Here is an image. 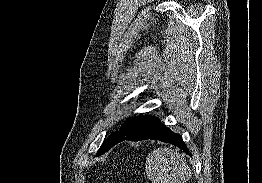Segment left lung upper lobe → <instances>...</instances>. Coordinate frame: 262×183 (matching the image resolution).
Segmentation results:
<instances>
[{
    "instance_id": "left-lung-upper-lobe-1",
    "label": "left lung upper lobe",
    "mask_w": 262,
    "mask_h": 183,
    "mask_svg": "<svg viewBox=\"0 0 262 183\" xmlns=\"http://www.w3.org/2000/svg\"><path fill=\"white\" fill-rule=\"evenodd\" d=\"M151 115L148 116H139L135 118H130L124 122L118 132L112 133L102 144L100 149L97 152V156L105 153L108 148L115 143L116 141L126 138L130 135L136 133L143 125L151 118Z\"/></svg>"
}]
</instances>
